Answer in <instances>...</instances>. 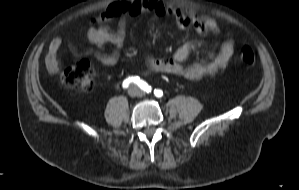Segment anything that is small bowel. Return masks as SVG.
Instances as JSON below:
<instances>
[{"mask_svg": "<svg viewBox=\"0 0 299 190\" xmlns=\"http://www.w3.org/2000/svg\"><path fill=\"white\" fill-rule=\"evenodd\" d=\"M142 13H152L156 16L173 15L177 19L178 27L185 29L193 25L200 34L217 32V22L207 16H199L194 12L172 4H166L161 0H124L116 2L107 7L100 15L93 18L94 23L88 30V39L95 45L98 51L94 54L95 59L105 66H112L117 63L120 51L123 47L126 36V21L123 15L138 16ZM116 22L115 29H111L105 23ZM63 44L61 37H55L49 44L46 64L51 72L58 70L57 53ZM106 44L114 47L111 53L102 51ZM195 45L193 40L184 41L174 52L171 58H157L148 52L145 56V66L159 73H169L182 76L189 80H198L205 76L215 75L225 68L234 53V42L228 39L221 45L219 51L206 62L186 65V61ZM77 58H84L88 53H78L72 49Z\"/></svg>", "mask_w": 299, "mask_h": 190, "instance_id": "small-bowel-1", "label": "small bowel"}]
</instances>
